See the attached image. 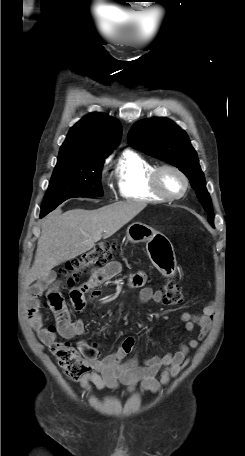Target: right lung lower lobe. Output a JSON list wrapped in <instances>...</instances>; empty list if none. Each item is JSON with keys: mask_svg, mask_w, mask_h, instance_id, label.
<instances>
[{"mask_svg": "<svg viewBox=\"0 0 245 456\" xmlns=\"http://www.w3.org/2000/svg\"><path fill=\"white\" fill-rule=\"evenodd\" d=\"M43 216H45V215H44V214H41V215H40V217H43Z\"/></svg>", "mask_w": 245, "mask_h": 456, "instance_id": "1", "label": "right lung lower lobe"}]
</instances>
